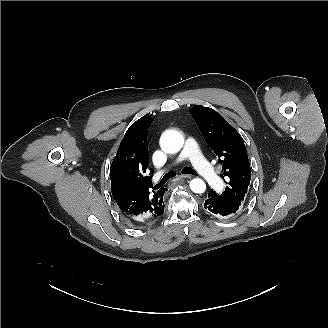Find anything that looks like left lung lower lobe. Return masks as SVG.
<instances>
[{
  "label": "left lung lower lobe",
  "instance_id": "left-lung-lower-lobe-1",
  "mask_svg": "<svg viewBox=\"0 0 328 328\" xmlns=\"http://www.w3.org/2000/svg\"><path fill=\"white\" fill-rule=\"evenodd\" d=\"M209 198L205 200L204 208L212 215H215L220 218H229L234 213L235 210L231 209L227 205L223 204L219 200H217L212 193L208 194Z\"/></svg>",
  "mask_w": 328,
  "mask_h": 328
}]
</instances>
